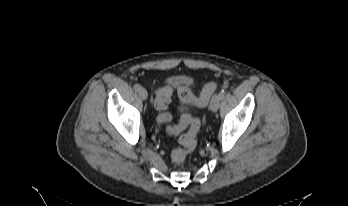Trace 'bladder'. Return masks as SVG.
<instances>
[{
	"label": "bladder",
	"mask_w": 348,
	"mask_h": 206,
	"mask_svg": "<svg viewBox=\"0 0 348 206\" xmlns=\"http://www.w3.org/2000/svg\"><path fill=\"white\" fill-rule=\"evenodd\" d=\"M171 86L176 90L183 87L184 82L180 77H172L170 79Z\"/></svg>",
	"instance_id": "obj_1"
}]
</instances>
